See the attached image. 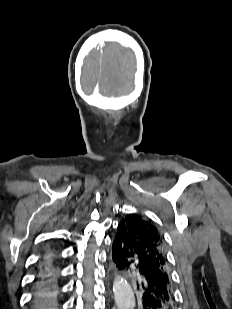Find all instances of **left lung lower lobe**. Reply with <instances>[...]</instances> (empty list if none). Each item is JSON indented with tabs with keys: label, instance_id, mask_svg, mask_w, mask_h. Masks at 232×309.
<instances>
[{
	"label": "left lung lower lobe",
	"instance_id": "left-lung-lower-lobe-1",
	"mask_svg": "<svg viewBox=\"0 0 232 309\" xmlns=\"http://www.w3.org/2000/svg\"><path fill=\"white\" fill-rule=\"evenodd\" d=\"M112 262L117 272H133L140 309H175L171 280L162 269L140 258L122 224L112 245Z\"/></svg>",
	"mask_w": 232,
	"mask_h": 309
}]
</instances>
